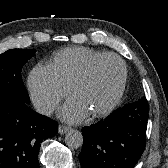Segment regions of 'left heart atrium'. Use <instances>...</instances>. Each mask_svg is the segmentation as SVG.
<instances>
[{
	"mask_svg": "<svg viewBox=\"0 0 168 168\" xmlns=\"http://www.w3.org/2000/svg\"><path fill=\"white\" fill-rule=\"evenodd\" d=\"M86 105L76 96L71 97L60 109V117L68 122L76 123L89 115Z\"/></svg>",
	"mask_w": 168,
	"mask_h": 168,
	"instance_id": "1",
	"label": "left heart atrium"
}]
</instances>
